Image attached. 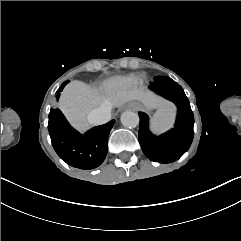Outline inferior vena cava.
<instances>
[{
    "mask_svg": "<svg viewBox=\"0 0 241 241\" xmlns=\"http://www.w3.org/2000/svg\"><path fill=\"white\" fill-rule=\"evenodd\" d=\"M111 103H103L99 108L89 112L87 120L92 125H102L111 119Z\"/></svg>",
    "mask_w": 241,
    "mask_h": 241,
    "instance_id": "602c4592",
    "label": "inferior vena cava"
}]
</instances>
